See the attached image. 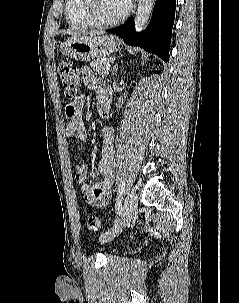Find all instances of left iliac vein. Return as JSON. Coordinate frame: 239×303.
Returning a JSON list of instances; mask_svg holds the SVG:
<instances>
[{"label": "left iliac vein", "mask_w": 239, "mask_h": 303, "mask_svg": "<svg viewBox=\"0 0 239 303\" xmlns=\"http://www.w3.org/2000/svg\"><path fill=\"white\" fill-rule=\"evenodd\" d=\"M137 210V194L134 188H131L127 194L124 210L122 216L115 224L105 233L100 236V241L102 243L107 242L119 235L122 230L131 221L133 215Z\"/></svg>", "instance_id": "1"}]
</instances>
